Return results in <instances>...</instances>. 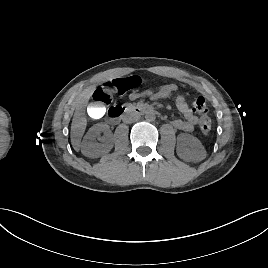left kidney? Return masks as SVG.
Instances as JSON below:
<instances>
[{
    "label": "left kidney",
    "instance_id": "1",
    "mask_svg": "<svg viewBox=\"0 0 268 268\" xmlns=\"http://www.w3.org/2000/svg\"><path fill=\"white\" fill-rule=\"evenodd\" d=\"M177 155L185 161H201L206 157L202 143L196 137L182 133L177 137Z\"/></svg>",
    "mask_w": 268,
    "mask_h": 268
}]
</instances>
